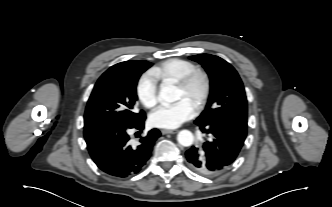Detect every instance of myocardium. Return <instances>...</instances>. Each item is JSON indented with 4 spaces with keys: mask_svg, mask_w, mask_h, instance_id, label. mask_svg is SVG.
<instances>
[{
    "mask_svg": "<svg viewBox=\"0 0 332 207\" xmlns=\"http://www.w3.org/2000/svg\"><path fill=\"white\" fill-rule=\"evenodd\" d=\"M176 84L188 97L193 99V105L197 109L204 106L211 88V80L206 71L195 68Z\"/></svg>",
    "mask_w": 332,
    "mask_h": 207,
    "instance_id": "f54148a6",
    "label": "myocardium"
}]
</instances>
